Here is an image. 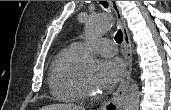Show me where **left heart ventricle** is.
I'll return each mask as SVG.
<instances>
[{
    "label": "left heart ventricle",
    "mask_w": 171,
    "mask_h": 110,
    "mask_svg": "<svg viewBox=\"0 0 171 110\" xmlns=\"http://www.w3.org/2000/svg\"><path fill=\"white\" fill-rule=\"evenodd\" d=\"M82 80L92 89L96 90L93 80H94V73L93 72H87L83 71L79 73Z\"/></svg>",
    "instance_id": "left-heart-ventricle-1"
}]
</instances>
